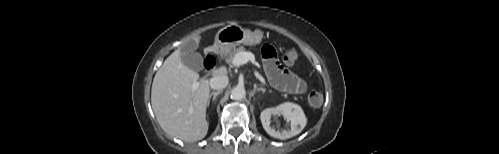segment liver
I'll use <instances>...</instances> for the list:
<instances>
[{
  "label": "liver",
  "mask_w": 499,
  "mask_h": 154,
  "mask_svg": "<svg viewBox=\"0 0 499 154\" xmlns=\"http://www.w3.org/2000/svg\"><path fill=\"white\" fill-rule=\"evenodd\" d=\"M181 49L175 50L156 72L151 104L161 128L183 141H198L208 132L206 106L209 81L183 64ZM198 87L192 90V84Z\"/></svg>",
  "instance_id": "obj_1"
}]
</instances>
